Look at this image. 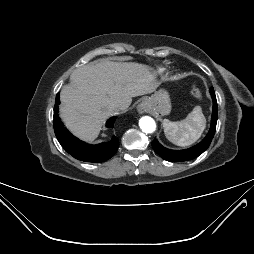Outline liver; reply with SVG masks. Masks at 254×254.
<instances>
[{
  "instance_id": "liver-1",
  "label": "liver",
  "mask_w": 254,
  "mask_h": 254,
  "mask_svg": "<svg viewBox=\"0 0 254 254\" xmlns=\"http://www.w3.org/2000/svg\"><path fill=\"white\" fill-rule=\"evenodd\" d=\"M159 82L144 64L103 61L75 69L60 93V116L67 128L85 141L97 138L106 119L129 106L132 97L154 92Z\"/></svg>"
}]
</instances>
